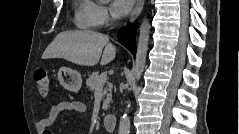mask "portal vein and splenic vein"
<instances>
[{"label": "portal vein and splenic vein", "mask_w": 239, "mask_h": 134, "mask_svg": "<svg viewBox=\"0 0 239 134\" xmlns=\"http://www.w3.org/2000/svg\"><path fill=\"white\" fill-rule=\"evenodd\" d=\"M106 80H107V74L106 73H102L100 75V82H99L97 87H102L103 84L106 82Z\"/></svg>", "instance_id": "obj_1"}]
</instances>
